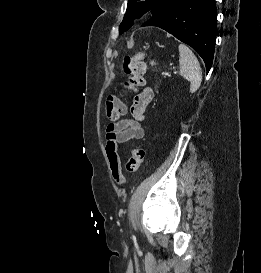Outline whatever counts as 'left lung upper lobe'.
<instances>
[{"mask_svg":"<svg viewBox=\"0 0 261 273\" xmlns=\"http://www.w3.org/2000/svg\"><path fill=\"white\" fill-rule=\"evenodd\" d=\"M172 0H129L127 10L123 21L119 26V34L127 31L132 25L133 21L140 18L146 12L152 10V14L167 7Z\"/></svg>","mask_w":261,"mask_h":273,"instance_id":"1","label":"left lung upper lobe"}]
</instances>
